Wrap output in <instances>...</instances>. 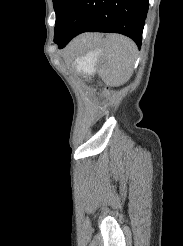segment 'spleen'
<instances>
[{"instance_id":"spleen-1","label":"spleen","mask_w":183,"mask_h":246,"mask_svg":"<svg viewBox=\"0 0 183 246\" xmlns=\"http://www.w3.org/2000/svg\"><path fill=\"white\" fill-rule=\"evenodd\" d=\"M103 44L108 66L101 68L99 75L107 84H125L133 75L138 52L136 44L128 37L118 34L107 35Z\"/></svg>"}]
</instances>
